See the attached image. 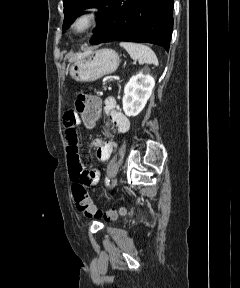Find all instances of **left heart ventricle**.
Segmentation results:
<instances>
[{
    "label": "left heart ventricle",
    "mask_w": 240,
    "mask_h": 288,
    "mask_svg": "<svg viewBox=\"0 0 240 288\" xmlns=\"http://www.w3.org/2000/svg\"><path fill=\"white\" fill-rule=\"evenodd\" d=\"M81 27H83V23L78 24V28H81Z\"/></svg>",
    "instance_id": "b2bd125f"
}]
</instances>
